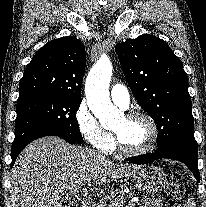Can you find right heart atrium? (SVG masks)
I'll use <instances>...</instances> for the list:
<instances>
[{
    "label": "right heart atrium",
    "instance_id": "right-heart-atrium-1",
    "mask_svg": "<svg viewBox=\"0 0 206 207\" xmlns=\"http://www.w3.org/2000/svg\"><path fill=\"white\" fill-rule=\"evenodd\" d=\"M75 121L80 134L92 147L102 152L114 149L113 135L103 128L85 100L80 102L75 111Z\"/></svg>",
    "mask_w": 206,
    "mask_h": 207
}]
</instances>
